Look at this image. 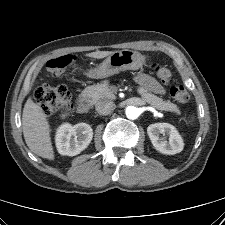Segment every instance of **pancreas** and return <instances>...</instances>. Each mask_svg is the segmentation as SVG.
Returning a JSON list of instances; mask_svg holds the SVG:
<instances>
[{
    "label": "pancreas",
    "mask_w": 225,
    "mask_h": 225,
    "mask_svg": "<svg viewBox=\"0 0 225 225\" xmlns=\"http://www.w3.org/2000/svg\"><path fill=\"white\" fill-rule=\"evenodd\" d=\"M137 92L145 102L155 107L156 109L174 112L177 115L181 114L178 106L174 103H171L169 100H163L162 98L150 92H147L143 88H138ZM84 93L95 101L99 99L112 100L115 99L116 89L110 87L108 85V81H103L100 84L98 83L96 85L86 87Z\"/></svg>",
    "instance_id": "obj_1"
}]
</instances>
